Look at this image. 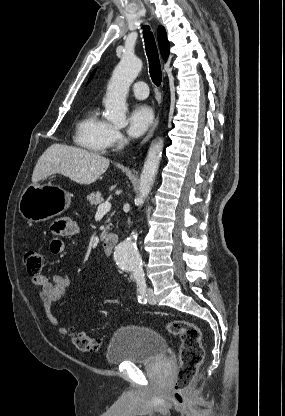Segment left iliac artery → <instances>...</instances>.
<instances>
[{"mask_svg":"<svg viewBox=\"0 0 285 416\" xmlns=\"http://www.w3.org/2000/svg\"><path fill=\"white\" fill-rule=\"evenodd\" d=\"M134 278L137 282V287H138V302L141 304H146L147 303V299H146V281L144 278V274H139V275H134Z\"/></svg>","mask_w":285,"mask_h":416,"instance_id":"44dca946","label":"left iliac artery"}]
</instances>
